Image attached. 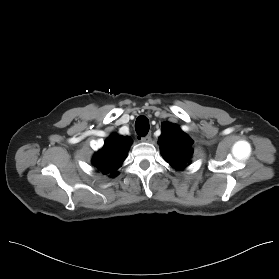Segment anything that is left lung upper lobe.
I'll list each match as a JSON object with an SVG mask.
<instances>
[{
	"mask_svg": "<svg viewBox=\"0 0 279 279\" xmlns=\"http://www.w3.org/2000/svg\"><path fill=\"white\" fill-rule=\"evenodd\" d=\"M158 142L164 160L172 167L182 170L190 164L193 141L179 126L164 123Z\"/></svg>",
	"mask_w": 279,
	"mask_h": 279,
	"instance_id": "5c2ea615",
	"label": "left lung upper lobe"
}]
</instances>
